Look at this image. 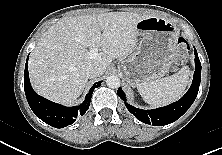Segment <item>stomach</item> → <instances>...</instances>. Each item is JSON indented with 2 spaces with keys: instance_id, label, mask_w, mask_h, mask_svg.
<instances>
[{
  "instance_id": "obj_1",
  "label": "stomach",
  "mask_w": 222,
  "mask_h": 155,
  "mask_svg": "<svg viewBox=\"0 0 222 155\" xmlns=\"http://www.w3.org/2000/svg\"><path fill=\"white\" fill-rule=\"evenodd\" d=\"M138 50L123 61L126 81L132 87L163 77L174 62L179 30L170 21L150 16L137 26Z\"/></svg>"
}]
</instances>
